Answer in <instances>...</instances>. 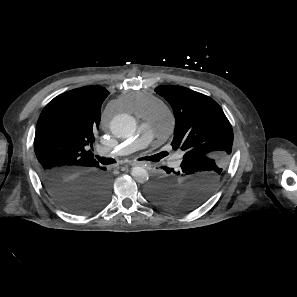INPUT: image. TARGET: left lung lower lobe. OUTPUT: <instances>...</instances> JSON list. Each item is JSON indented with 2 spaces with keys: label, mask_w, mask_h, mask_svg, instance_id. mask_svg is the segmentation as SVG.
Here are the masks:
<instances>
[{
  "label": "left lung lower lobe",
  "mask_w": 297,
  "mask_h": 297,
  "mask_svg": "<svg viewBox=\"0 0 297 297\" xmlns=\"http://www.w3.org/2000/svg\"><path fill=\"white\" fill-rule=\"evenodd\" d=\"M165 171H166V173H168L169 175H167V176H164V177H161V178H159L158 180H156L154 183H153V185H155V186H165L166 185V183H168V181H169V176H170V174H172V173H178V175L181 173V171L179 170V171H175L174 169H172V168H168V167H162Z\"/></svg>",
  "instance_id": "0a47b994"
}]
</instances>
